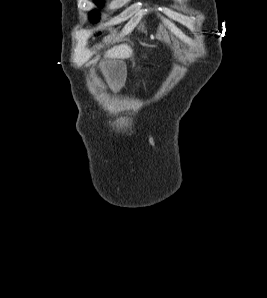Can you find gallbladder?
<instances>
[{"mask_svg": "<svg viewBox=\"0 0 267 298\" xmlns=\"http://www.w3.org/2000/svg\"><path fill=\"white\" fill-rule=\"evenodd\" d=\"M113 65H122V63L115 62V63H113ZM101 68L103 70H106L107 69V66L105 64H102L101 65ZM123 71H124L123 68L115 69V72H117V73H122Z\"/></svg>", "mask_w": 267, "mask_h": 298, "instance_id": "1", "label": "gallbladder"}]
</instances>
